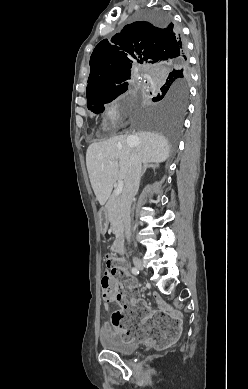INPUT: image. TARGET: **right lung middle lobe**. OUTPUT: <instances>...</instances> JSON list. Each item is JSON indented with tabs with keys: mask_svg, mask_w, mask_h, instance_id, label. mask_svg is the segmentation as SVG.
Instances as JSON below:
<instances>
[{
	"mask_svg": "<svg viewBox=\"0 0 248 389\" xmlns=\"http://www.w3.org/2000/svg\"><path fill=\"white\" fill-rule=\"evenodd\" d=\"M141 18L161 27L172 23L171 17L159 9L145 11ZM128 79L130 75L118 78L108 87L92 93L87 97L88 109L95 114L103 112L105 103L127 90ZM189 82L190 71L186 62L175 60L161 66L156 76L157 89L153 93L157 106L151 111L138 108L134 112L143 127L161 133L173 147L177 144L178 130L187 109Z\"/></svg>",
	"mask_w": 248,
	"mask_h": 389,
	"instance_id": "1",
	"label": "right lung middle lobe"
}]
</instances>
